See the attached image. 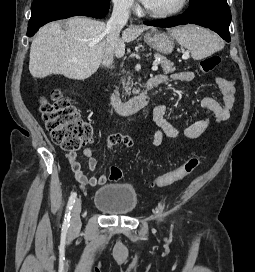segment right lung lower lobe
<instances>
[{"instance_id": "98d812e1", "label": "right lung lower lobe", "mask_w": 255, "mask_h": 272, "mask_svg": "<svg viewBox=\"0 0 255 272\" xmlns=\"http://www.w3.org/2000/svg\"><path fill=\"white\" fill-rule=\"evenodd\" d=\"M109 2L102 0H34L27 36H33L48 22L72 16L103 18L108 13Z\"/></svg>"}]
</instances>
